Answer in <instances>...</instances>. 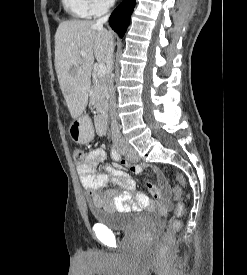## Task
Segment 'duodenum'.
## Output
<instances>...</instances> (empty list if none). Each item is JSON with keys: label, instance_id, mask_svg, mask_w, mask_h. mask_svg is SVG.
Instances as JSON below:
<instances>
[{"label": "duodenum", "instance_id": "obj_1", "mask_svg": "<svg viewBox=\"0 0 247 275\" xmlns=\"http://www.w3.org/2000/svg\"><path fill=\"white\" fill-rule=\"evenodd\" d=\"M96 132L99 136H104L107 132V121L104 115H99L94 120Z\"/></svg>", "mask_w": 247, "mask_h": 275}]
</instances>
